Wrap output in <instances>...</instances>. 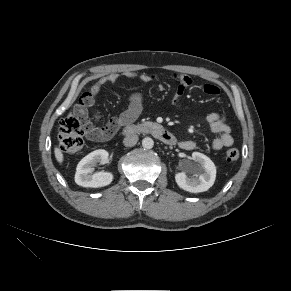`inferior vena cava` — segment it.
Returning a JSON list of instances; mask_svg holds the SVG:
<instances>
[{"label": "inferior vena cava", "instance_id": "obj_1", "mask_svg": "<svg viewBox=\"0 0 291 291\" xmlns=\"http://www.w3.org/2000/svg\"><path fill=\"white\" fill-rule=\"evenodd\" d=\"M138 141V136L136 134L128 135L124 138L123 143L126 147L134 146Z\"/></svg>", "mask_w": 291, "mask_h": 291}]
</instances>
